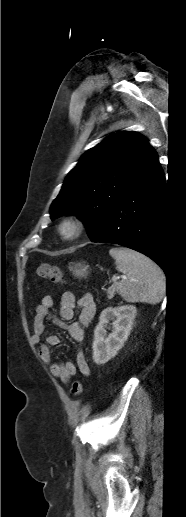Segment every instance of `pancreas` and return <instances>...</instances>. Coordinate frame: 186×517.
Returning a JSON list of instances; mask_svg holds the SVG:
<instances>
[{
    "mask_svg": "<svg viewBox=\"0 0 186 517\" xmlns=\"http://www.w3.org/2000/svg\"><path fill=\"white\" fill-rule=\"evenodd\" d=\"M117 291V286L114 284L107 290V298L112 299Z\"/></svg>",
    "mask_w": 186,
    "mask_h": 517,
    "instance_id": "pancreas-1",
    "label": "pancreas"
}]
</instances>
